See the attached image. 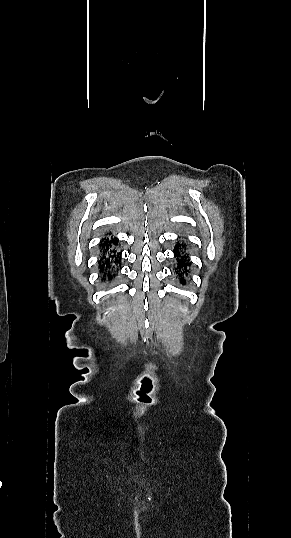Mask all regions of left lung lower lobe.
Listing matches in <instances>:
<instances>
[{"label":"left lung lower lobe","instance_id":"left-lung-lower-lobe-1","mask_svg":"<svg viewBox=\"0 0 291 538\" xmlns=\"http://www.w3.org/2000/svg\"><path fill=\"white\" fill-rule=\"evenodd\" d=\"M182 247L183 246L181 244H178L174 248V253L177 257V262H178L175 271H176L177 276L180 277V281L182 282V284H185L186 283L185 276H187V272H188L187 268L189 266V262L186 259V255H181L182 253L180 252V249Z\"/></svg>","mask_w":291,"mask_h":538}]
</instances>
